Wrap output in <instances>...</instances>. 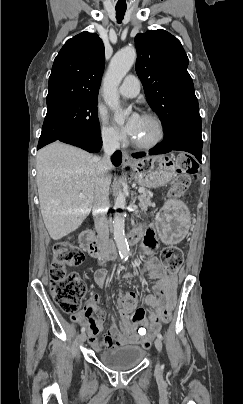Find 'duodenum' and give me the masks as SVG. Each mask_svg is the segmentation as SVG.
Here are the masks:
<instances>
[{"instance_id": "1", "label": "duodenum", "mask_w": 243, "mask_h": 404, "mask_svg": "<svg viewBox=\"0 0 243 404\" xmlns=\"http://www.w3.org/2000/svg\"><path fill=\"white\" fill-rule=\"evenodd\" d=\"M140 238V232L133 230L128 235L130 244H136ZM82 248L91 256L98 259H115L117 253L113 246H108L97 240L90 229L84 230L80 235Z\"/></svg>"}]
</instances>
